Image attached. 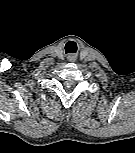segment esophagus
<instances>
[{
  "mask_svg": "<svg viewBox=\"0 0 135 153\" xmlns=\"http://www.w3.org/2000/svg\"><path fill=\"white\" fill-rule=\"evenodd\" d=\"M73 58H74V56H70V60L73 59Z\"/></svg>",
  "mask_w": 135,
  "mask_h": 153,
  "instance_id": "esophagus-1",
  "label": "esophagus"
}]
</instances>
